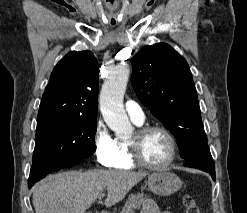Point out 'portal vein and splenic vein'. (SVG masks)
<instances>
[{
	"instance_id": "18ae733b",
	"label": "portal vein and splenic vein",
	"mask_w": 247,
	"mask_h": 213,
	"mask_svg": "<svg viewBox=\"0 0 247 213\" xmlns=\"http://www.w3.org/2000/svg\"><path fill=\"white\" fill-rule=\"evenodd\" d=\"M104 195H105L104 193L99 194L98 196L99 200H101L104 197Z\"/></svg>"
}]
</instances>
